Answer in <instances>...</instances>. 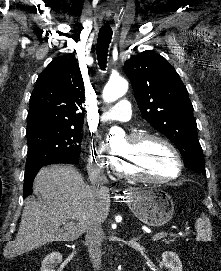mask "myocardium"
<instances>
[{"instance_id":"1","label":"myocardium","mask_w":221,"mask_h":271,"mask_svg":"<svg viewBox=\"0 0 221 271\" xmlns=\"http://www.w3.org/2000/svg\"><path fill=\"white\" fill-rule=\"evenodd\" d=\"M171 138L163 135L161 133L149 130L142 133H133L132 137H128L129 145H141L143 142H156V145H161L165 147V150H169L168 154L171 155V164L173 165V170H176L173 174L156 177L150 175H142L141 173H126L125 170H121L120 163H117L116 158H109V171H114L115 176H119L120 179H131V178H147V183L153 184H164L168 183V178H179L184 172L183 166L178 165V151L174 150V145H172ZM131 147V146H130Z\"/></svg>"}]
</instances>
